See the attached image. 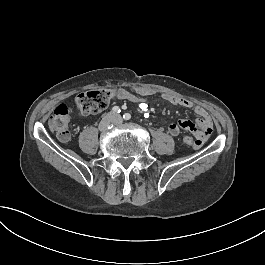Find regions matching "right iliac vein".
<instances>
[{
  "label": "right iliac vein",
  "instance_id": "right-iliac-vein-1",
  "mask_svg": "<svg viewBox=\"0 0 265 265\" xmlns=\"http://www.w3.org/2000/svg\"><path fill=\"white\" fill-rule=\"evenodd\" d=\"M113 122V115L107 114L99 124L100 130H105Z\"/></svg>",
  "mask_w": 265,
  "mask_h": 265
}]
</instances>
